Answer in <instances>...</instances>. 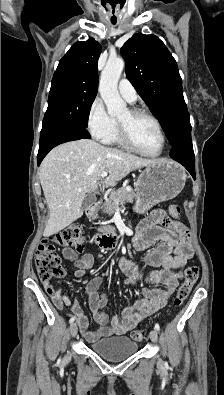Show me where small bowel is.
<instances>
[{
	"instance_id": "obj_1",
	"label": "small bowel",
	"mask_w": 224,
	"mask_h": 395,
	"mask_svg": "<svg viewBox=\"0 0 224 395\" xmlns=\"http://www.w3.org/2000/svg\"><path fill=\"white\" fill-rule=\"evenodd\" d=\"M156 242L159 244L146 253L144 262L150 267L161 268L146 276L145 281L162 284L165 288L154 289L142 285L140 300L123 309L120 316H113L109 323L108 315L104 312L107 297L100 292L103 278L100 276L93 278L85 288V295L93 317L99 325L94 331L89 330L88 319L77 301L72 302L62 291L54 289L48 280H43L44 288L58 309L71 308L70 317L75 318L83 337L88 342L93 343L112 335H126L143 319L165 307L170 295L183 277L187 261L193 256V246L187 228L180 222L168 221L163 210H155L144 218L137 226L133 239L134 247L139 250ZM61 253L64 259L73 263L74 275L77 278H82L86 270L94 263L91 254L85 253L78 256L71 247H63ZM120 266L128 276L127 284L133 285L141 279L137 266L131 260L123 257Z\"/></svg>"
}]
</instances>
